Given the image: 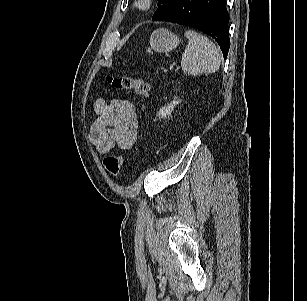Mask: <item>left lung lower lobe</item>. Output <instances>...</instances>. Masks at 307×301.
<instances>
[{
    "label": "left lung lower lobe",
    "mask_w": 307,
    "mask_h": 301,
    "mask_svg": "<svg viewBox=\"0 0 307 301\" xmlns=\"http://www.w3.org/2000/svg\"><path fill=\"white\" fill-rule=\"evenodd\" d=\"M158 21H168L195 27L212 36L227 57L229 40V14L226 0H179Z\"/></svg>",
    "instance_id": "1"
}]
</instances>
